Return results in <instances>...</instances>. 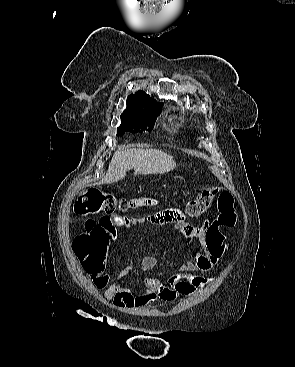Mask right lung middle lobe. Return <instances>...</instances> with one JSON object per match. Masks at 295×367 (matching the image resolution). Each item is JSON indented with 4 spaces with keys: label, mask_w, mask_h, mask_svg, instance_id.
Segmentation results:
<instances>
[{
    "label": "right lung middle lobe",
    "mask_w": 295,
    "mask_h": 367,
    "mask_svg": "<svg viewBox=\"0 0 295 367\" xmlns=\"http://www.w3.org/2000/svg\"><path fill=\"white\" fill-rule=\"evenodd\" d=\"M161 105H138L129 112L121 115V124L117 128V135L122 136L125 132L151 131L159 114Z\"/></svg>",
    "instance_id": "1"
}]
</instances>
